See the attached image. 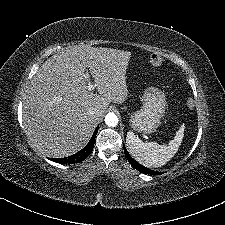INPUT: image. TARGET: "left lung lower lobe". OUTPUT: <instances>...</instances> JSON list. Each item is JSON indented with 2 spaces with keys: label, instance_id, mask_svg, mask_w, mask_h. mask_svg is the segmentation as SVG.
Returning <instances> with one entry per match:
<instances>
[{
  "label": "left lung lower lobe",
  "instance_id": "obj_1",
  "mask_svg": "<svg viewBox=\"0 0 225 225\" xmlns=\"http://www.w3.org/2000/svg\"><path fill=\"white\" fill-rule=\"evenodd\" d=\"M124 153L128 159V161L130 162V164L135 167L138 171L145 173V174H160L159 172H155L152 171L150 169H147L146 167L141 166L139 163H137L136 161H134V159L129 155V153L127 152L126 148L124 147Z\"/></svg>",
  "mask_w": 225,
  "mask_h": 225
}]
</instances>
